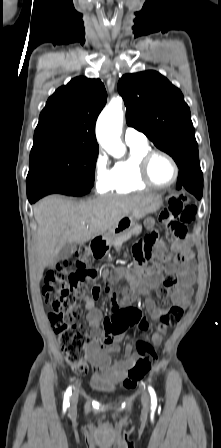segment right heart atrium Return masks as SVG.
<instances>
[{"label": "right heart atrium", "mask_w": 221, "mask_h": 448, "mask_svg": "<svg viewBox=\"0 0 221 448\" xmlns=\"http://www.w3.org/2000/svg\"><path fill=\"white\" fill-rule=\"evenodd\" d=\"M95 187L99 192L111 189L113 181V169L110 167L108 156L99 152L94 162Z\"/></svg>", "instance_id": "d8ad5b80"}]
</instances>
